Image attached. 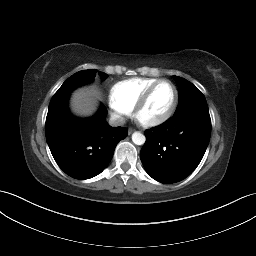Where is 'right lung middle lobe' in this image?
<instances>
[{
	"label": "right lung middle lobe",
	"mask_w": 256,
	"mask_h": 256,
	"mask_svg": "<svg viewBox=\"0 0 256 256\" xmlns=\"http://www.w3.org/2000/svg\"><path fill=\"white\" fill-rule=\"evenodd\" d=\"M96 72L97 70L91 69L82 70L75 73L62 84L59 90L52 97L51 102L58 99L67 98L74 88L92 81L95 77ZM102 77L105 79L107 75L105 73H102Z\"/></svg>",
	"instance_id": "dd1d6c3e"
}]
</instances>
